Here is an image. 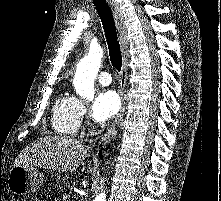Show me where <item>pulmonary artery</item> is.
<instances>
[{
	"label": "pulmonary artery",
	"instance_id": "1",
	"mask_svg": "<svg viewBox=\"0 0 221 201\" xmlns=\"http://www.w3.org/2000/svg\"><path fill=\"white\" fill-rule=\"evenodd\" d=\"M98 81L100 84H102L103 86H108L111 84L112 82V78L109 72H101L98 76Z\"/></svg>",
	"mask_w": 221,
	"mask_h": 201
}]
</instances>
